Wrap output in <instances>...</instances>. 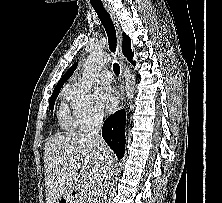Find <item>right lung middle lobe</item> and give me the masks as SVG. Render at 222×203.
Wrapping results in <instances>:
<instances>
[{"instance_id":"1","label":"right lung middle lobe","mask_w":222,"mask_h":203,"mask_svg":"<svg viewBox=\"0 0 222 203\" xmlns=\"http://www.w3.org/2000/svg\"><path fill=\"white\" fill-rule=\"evenodd\" d=\"M58 94H59V91L53 92L52 96L50 97V100H49V110H51V111L53 110L54 103H55V100H56Z\"/></svg>"}]
</instances>
